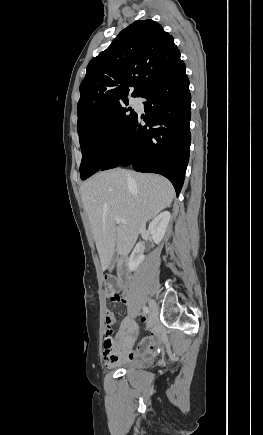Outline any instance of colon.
<instances>
[{
  "label": "colon",
  "instance_id": "5ec220e1",
  "mask_svg": "<svg viewBox=\"0 0 263 435\" xmlns=\"http://www.w3.org/2000/svg\"><path fill=\"white\" fill-rule=\"evenodd\" d=\"M105 285L109 290V294H108L109 299L114 303H119L121 301V296L114 290L115 288L114 278L111 276L105 277ZM106 325H107V330L104 338V348L105 350H114L115 343L113 341V336H112V324L109 318L106 322Z\"/></svg>",
  "mask_w": 263,
  "mask_h": 435
}]
</instances>
